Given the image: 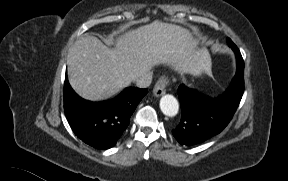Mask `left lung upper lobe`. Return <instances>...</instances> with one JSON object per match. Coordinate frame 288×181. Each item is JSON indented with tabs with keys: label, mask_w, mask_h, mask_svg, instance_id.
<instances>
[{
	"label": "left lung upper lobe",
	"mask_w": 288,
	"mask_h": 181,
	"mask_svg": "<svg viewBox=\"0 0 288 181\" xmlns=\"http://www.w3.org/2000/svg\"><path fill=\"white\" fill-rule=\"evenodd\" d=\"M228 44L230 46L231 43H233L229 38H228ZM244 73V61L243 59L237 60V72L235 76H243Z\"/></svg>",
	"instance_id": "obj_1"
}]
</instances>
